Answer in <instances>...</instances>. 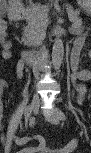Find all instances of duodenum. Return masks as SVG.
I'll return each mask as SVG.
<instances>
[{
	"label": "duodenum",
	"mask_w": 91,
	"mask_h": 153,
	"mask_svg": "<svg viewBox=\"0 0 91 153\" xmlns=\"http://www.w3.org/2000/svg\"><path fill=\"white\" fill-rule=\"evenodd\" d=\"M12 15L18 20H22L23 12L22 11H14ZM48 52L47 48L41 49H23L21 51V57L28 62H36L39 59L43 58Z\"/></svg>",
	"instance_id": "obj_1"
}]
</instances>
